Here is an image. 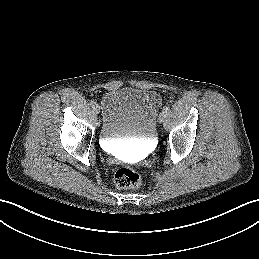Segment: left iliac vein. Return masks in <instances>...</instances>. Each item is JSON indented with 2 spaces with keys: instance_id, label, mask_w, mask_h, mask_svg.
Segmentation results:
<instances>
[{
  "instance_id": "left-iliac-vein-1",
  "label": "left iliac vein",
  "mask_w": 259,
  "mask_h": 259,
  "mask_svg": "<svg viewBox=\"0 0 259 259\" xmlns=\"http://www.w3.org/2000/svg\"><path fill=\"white\" fill-rule=\"evenodd\" d=\"M165 118H166V112L162 111L159 115V122L161 123L164 122Z\"/></svg>"
}]
</instances>
